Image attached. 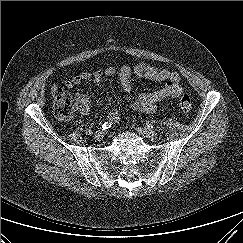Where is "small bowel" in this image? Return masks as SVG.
<instances>
[{"label": "small bowel", "instance_id": "c3829d8e", "mask_svg": "<svg viewBox=\"0 0 243 243\" xmlns=\"http://www.w3.org/2000/svg\"><path fill=\"white\" fill-rule=\"evenodd\" d=\"M117 75L122 88L130 92L133 88V77L146 79L150 81L165 82L163 88L153 92L140 93L134 104L133 109L138 112L152 113L156 110L157 104L166 99L179 97L183 92L181 77L178 72L161 69L148 63H140L134 69L127 65L120 67L108 66L105 69H99L93 72H81L66 82L68 88H73L84 82L91 81L95 85H100L104 76ZM78 101V110L81 114L89 113V98L82 93L76 95ZM109 118L119 119L116 110L109 113ZM117 118V119H116Z\"/></svg>", "mask_w": 243, "mask_h": 243}]
</instances>
